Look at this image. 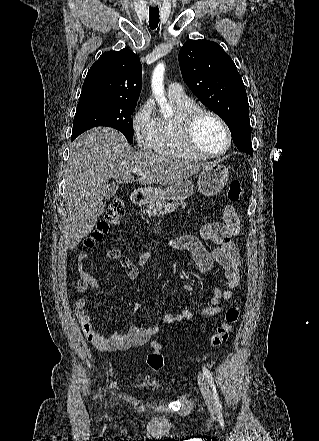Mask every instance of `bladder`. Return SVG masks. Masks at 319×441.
Instances as JSON below:
<instances>
[{"instance_id":"31cf9c89","label":"bladder","mask_w":319,"mask_h":441,"mask_svg":"<svg viewBox=\"0 0 319 441\" xmlns=\"http://www.w3.org/2000/svg\"><path fill=\"white\" fill-rule=\"evenodd\" d=\"M143 384L146 385V386H151V387H157L158 386V384L155 381L150 380V379L144 380Z\"/></svg>"}]
</instances>
